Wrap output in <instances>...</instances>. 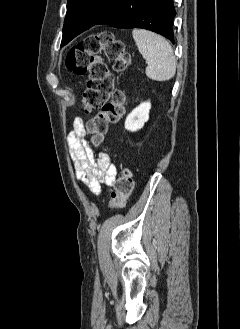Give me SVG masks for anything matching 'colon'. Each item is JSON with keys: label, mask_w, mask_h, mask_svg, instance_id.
Masks as SVG:
<instances>
[{"label": "colon", "mask_w": 240, "mask_h": 329, "mask_svg": "<svg viewBox=\"0 0 240 329\" xmlns=\"http://www.w3.org/2000/svg\"><path fill=\"white\" fill-rule=\"evenodd\" d=\"M101 53L113 60L117 72L126 70L131 63V57L123 43L109 32L89 34L69 51L65 61L68 70L88 77L82 94L84 110L90 112L100 109L86 123V130L95 146L103 143L109 126L121 120L126 101L125 92L115 88L113 77L102 60ZM132 190L133 174L129 169H123L115 181L110 208H124Z\"/></svg>", "instance_id": "colon-1"}]
</instances>
